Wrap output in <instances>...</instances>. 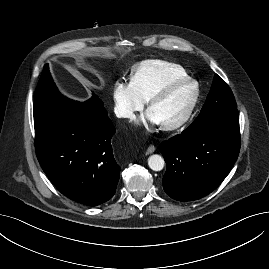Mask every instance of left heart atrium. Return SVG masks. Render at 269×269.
I'll return each instance as SVG.
<instances>
[{
  "label": "left heart atrium",
  "instance_id": "left-heart-atrium-1",
  "mask_svg": "<svg viewBox=\"0 0 269 269\" xmlns=\"http://www.w3.org/2000/svg\"><path fill=\"white\" fill-rule=\"evenodd\" d=\"M139 122L143 125L159 124L156 118L149 112V110L144 116L140 118Z\"/></svg>",
  "mask_w": 269,
  "mask_h": 269
}]
</instances>
